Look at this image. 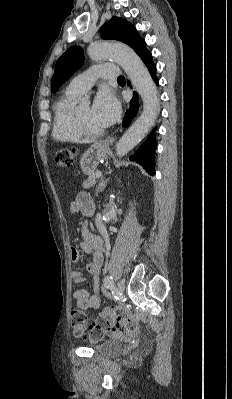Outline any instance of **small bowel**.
Returning <instances> with one entry per match:
<instances>
[{
  "instance_id": "c3829d8e",
  "label": "small bowel",
  "mask_w": 232,
  "mask_h": 399,
  "mask_svg": "<svg viewBox=\"0 0 232 399\" xmlns=\"http://www.w3.org/2000/svg\"><path fill=\"white\" fill-rule=\"evenodd\" d=\"M72 208L76 211L90 212L94 209V202L89 193L80 192L78 193L73 202ZM81 231L85 236V240L80 243V248L87 252L92 253V258L87 265V270L93 278L92 290L95 294L100 293V286L98 283V276L102 266L103 258L101 253V247L104 243L102 236L96 235L86 225L81 227ZM80 259V253L76 248H70L69 260L71 262H78ZM84 282V276L82 271H75L70 276V283L81 284ZM72 297L76 301V305L79 308H91L97 309L100 306V300L97 296L88 294L82 288H76L72 291Z\"/></svg>"
}]
</instances>
